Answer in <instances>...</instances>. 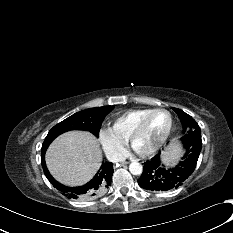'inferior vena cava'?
<instances>
[{
  "instance_id": "602c4592",
  "label": "inferior vena cava",
  "mask_w": 233,
  "mask_h": 233,
  "mask_svg": "<svg viewBox=\"0 0 233 233\" xmlns=\"http://www.w3.org/2000/svg\"><path fill=\"white\" fill-rule=\"evenodd\" d=\"M107 159L112 163H117L125 160V157L120 153H110L107 155Z\"/></svg>"
}]
</instances>
